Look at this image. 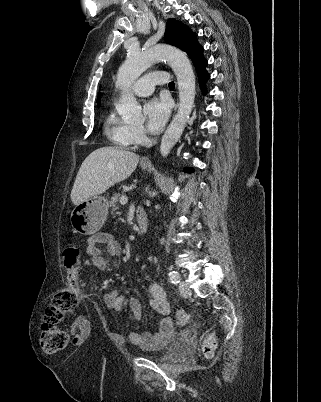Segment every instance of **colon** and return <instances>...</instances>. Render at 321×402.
I'll return each mask as SVG.
<instances>
[{
	"label": "colon",
	"instance_id": "5ec220e1",
	"mask_svg": "<svg viewBox=\"0 0 321 402\" xmlns=\"http://www.w3.org/2000/svg\"><path fill=\"white\" fill-rule=\"evenodd\" d=\"M64 262L70 286L54 294L41 325L40 344L42 350L47 354H54L67 347L69 335L59 324L65 315L76 309L78 304L76 290L82 289L78 278L79 251L76 246L71 244L65 249ZM175 317L179 326H185L188 323V315L183 311H177ZM215 346L214 335L205 338L202 348L207 358L213 357Z\"/></svg>",
	"mask_w": 321,
	"mask_h": 402
}]
</instances>
